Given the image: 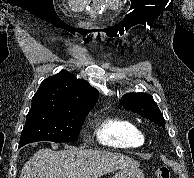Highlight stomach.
<instances>
[{
    "label": "stomach",
    "mask_w": 194,
    "mask_h": 178,
    "mask_svg": "<svg viewBox=\"0 0 194 178\" xmlns=\"http://www.w3.org/2000/svg\"><path fill=\"white\" fill-rule=\"evenodd\" d=\"M114 178H144V174L138 167H134L121 169Z\"/></svg>",
    "instance_id": "obj_1"
}]
</instances>
